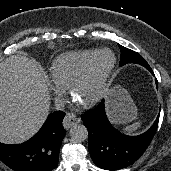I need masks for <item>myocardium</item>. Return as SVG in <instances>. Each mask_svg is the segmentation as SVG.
Returning <instances> with one entry per match:
<instances>
[{
	"label": "myocardium",
	"mask_w": 171,
	"mask_h": 171,
	"mask_svg": "<svg viewBox=\"0 0 171 171\" xmlns=\"http://www.w3.org/2000/svg\"><path fill=\"white\" fill-rule=\"evenodd\" d=\"M104 52H109L112 57V61L110 65L102 72L99 80V86L97 93L88 101L84 103H79L83 108H90L98 104L105 96L108 87L109 78L115 68L116 65V56L115 53L109 48H102L96 50L94 54L90 57V59L86 62L84 67L78 72V74L73 78L69 85V91L72 99L75 100V92L77 87L88 77L94 62L97 57Z\"/></svg>",
	"instance_id": "obj_1"
}]
</instances>
